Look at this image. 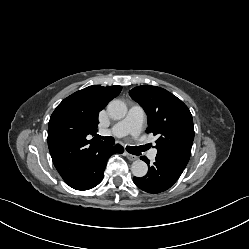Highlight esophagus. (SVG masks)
Returning <instances> with one entry per match:
<instances>
[{
  "label": "esophagus",
  "mask_w": 249,
  "mask_h": 249,
  "mask_svg": "<svg viewBox=\"0 0 249 249\" xmlns=\"http://www.w3.org/2000/svg\"><path fill=\"white\" fill-rule=\"evenodd\" d=\"M125 155H126V157H127L129 160H131V161H135V160L138 159L137 156L132 155V154H130V153H128V152H125Z\"/></svg>",
  "instance_id": "1"
}]
</instances>
